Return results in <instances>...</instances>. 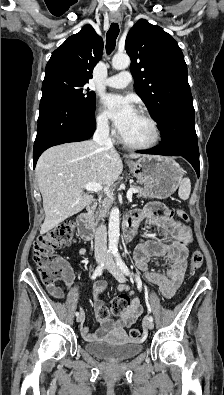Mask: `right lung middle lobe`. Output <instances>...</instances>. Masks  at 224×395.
<instances>
[{
  "mask_svg": "<svg viewBox=\"0 0 224 395\" xmlns=\"http://www.w3.org/2000/svg\"><path fill=\"white\" fill-rule=\"evenodd\" d=\"M81 81L63 74L45 76L42 86V95H52L70 103L77 109L95 110V93Z\"/></svg>",
  "mask_w": 224,
  "mask_h": 395,
  "instance_id": "right-lung-middle-lobe-1",
  "label": "right lung middle lobe"
}]
</instances>
